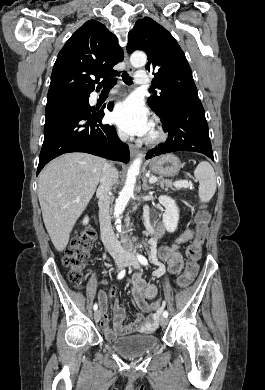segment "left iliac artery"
<instances>
[{"label": "left iliac artery", "mask_w": 265, "mask_h": 390, "mask_svg": "<svg viewBox=\"0 0 265 390\" xmlns=\"http://www.w3.org/2000/svg\"><path fill=\"white\" fill-rule=\"evenodd\" d=\"M137 258L139 260V262L142 264V265H148V260L141 254L137 253ZM163 316L164 317H168V312L167 311H164L163 312Z\"/></svg>", "instance_id": "left-iliac-artery-1"}]
</instances>
